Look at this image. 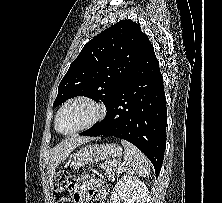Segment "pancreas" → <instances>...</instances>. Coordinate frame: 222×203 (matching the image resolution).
Here are the masks:
<instances>
[{
    "label": "pancreas",
    "mask_w": 222,
    "mask_h": 203,
    "mask_svg": "<svg viewBox=\"0 0 222 203\" xmlns=\"http://www.w3.org/2000/svg\"><path fill=\"white\" fill-rule=\"evenodd\" d=\"M118 165L119 162L116 160H111L105 164L102 165V168L105 171V174L110 179H115L117 173H118Z\"/></svg>",
    "instance_id": "pancreas-1"
}]
</instances>
